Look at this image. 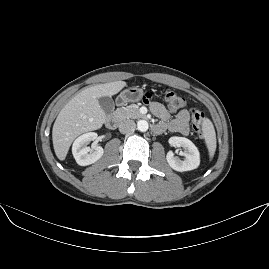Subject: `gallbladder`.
<instances>
[{"mask_svg":"<svg viewBox=\"0 0 269 269\" xmlns=\"http://www.w3.org/2000/svg\"><path fill=\"white\" fill-rule=\"evenodd\" d=\"M98 101L99 105L106 114H110L113 112L115 104L111 97L109 96L100 97Z\"/></svg>","mask_w":269,"mask_h":269,"instance_id":"1","label":"gallbladder"}]
</instances>
